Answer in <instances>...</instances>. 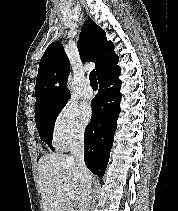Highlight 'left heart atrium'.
<instances>
[{
  "label": "left heart atrium",
  "instance_id": "1",
  "mask_svg": "<svg viewBox=\"0 0 178 211\" xmlns=\"http://www.w3.org/2000/svg\"><path fill=\"white\" fill-rule=\"evenodd\" d=\"M93 115L92 109L89 105L84 106L83 111H82V117L84 121L88 122L91 120Z\"/></svg>",
  "mask_w": 178,
  "mask_h": 211
}]
</instances>
